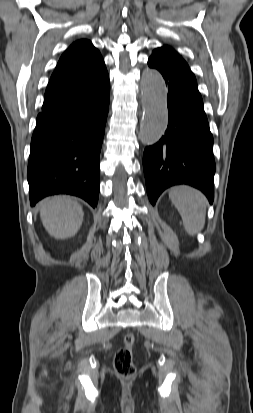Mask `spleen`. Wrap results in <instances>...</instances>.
I'll use <instances>...</instances> for the list:
<instances>
[{"instance_id": "spleen-1", "label": "spleen", "mask_w": 253, "mask_h": 413, "mask_svg": "<svg viewBox=\"0 0 253 413\" xmlns=\"http://www.w3.org/2000/svg\"><path fill=\"white\" fill-rule=\"evenodd\" d=\"M169 198L181 215L184 228L190 236L204 228L207 199L200 191L189 186H178L170 190Z\"/></svg>"}]
</instances>
